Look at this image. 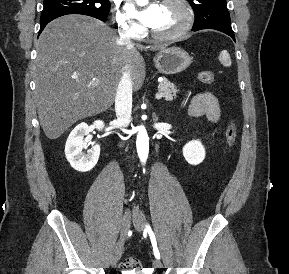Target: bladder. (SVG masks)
<instances>
[{"label":"bladder","mask_w":289,"mask_h":274,"mask_svg":"<svg viewBox=\"0 0 289 274\" xmlns=\"http://www.w3.org/2000/svg\"><path fill=\"white\" fill-rule=\"evenodd\" d=\"M121 274H144L140 271H123Z\"/></svg>","instance_id":"31cf9c89"}]
</instances>
